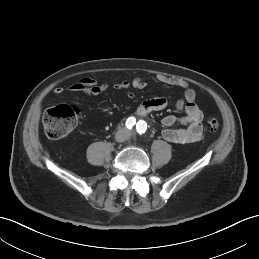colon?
Listing matches in <instances>:
<instances>
[{
    "mask_svg": "<svg viewBox=\"0 0 259 259\" xmlns=\"http://www.w3.org/2000/svg\"><path fill=\"white\" fill-rule=\"evenodd\" d=\"M79 110L71 105L61 104L49 109L43 116V128L51 139H61L74 129L77 124ZM207 130L216 132L220 123L215 118L207 120Z\"/></svg>",
    "mask_w": 259,
    "mask_h": 259,
    "instance_id": "obj_1",
    "label": "colon"
}]
</instances>
